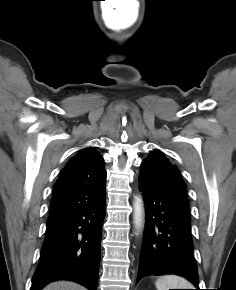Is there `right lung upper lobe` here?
Returning <instances> with one entry per match:
<instances>
[{"label":"right lung upper lobe","mask_w":236,"mask_h":290,"mask_svg":"<svg viewBox=\"0 0 236 290\" xmlns=\"http://www.w3.org/2000/svg\"><path fill=\"white\" fill-rule=\"evenodd\" d=\"M103 164V158L92 147L69 160L54 186L47 225L104 197L106 171Z\"/></svg>","instance_id":"cb5924a9"}]
</instances>
